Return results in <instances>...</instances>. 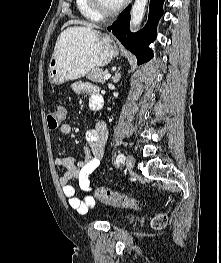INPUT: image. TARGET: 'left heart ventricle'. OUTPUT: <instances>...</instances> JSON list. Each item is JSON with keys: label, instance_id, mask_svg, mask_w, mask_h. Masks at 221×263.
<instances>
[{"label": "left heart ventricle", "instance_id": "left-heart-ventricle-1", "mask_svg": "<svg viewBox=\"0 0 221 263\" xmlns=\"http://www.w3.org/2000/svg\"><path fill=\"white\" fill-rule=\"evenodd\" d=\"M100 2L105 9L110 10L118 7L122 0H100Z\"/></svg>", "mask_w": 221, "mask_h": 263}]
</instances>
